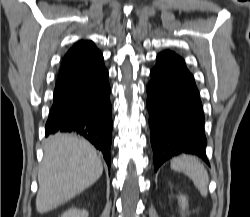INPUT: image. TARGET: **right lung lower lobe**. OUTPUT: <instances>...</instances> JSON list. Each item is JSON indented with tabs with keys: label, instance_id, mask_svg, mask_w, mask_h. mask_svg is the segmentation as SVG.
<instances>
[{
	"label": "right lung lower lobe",
	"instance_id": "1",
	"mask_svg": "<svg viewBox=\"0 0 250 217\" xmlns=\"http://www.w3.org/2000/svg\"><path fill=\"white\" fill-rule=\"evenodd\" d=\"M108 71L100 54L83 69L59 78L46 122V136L73 132L88 139L110 169L112 135Z\"/></svg>",
	"mask_w": 250,
	"mask_h": 217
}]
</instances>
